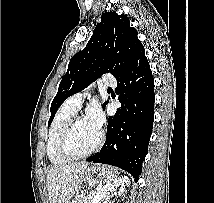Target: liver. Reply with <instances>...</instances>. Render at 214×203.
I'll return each mask as SVG.
<instances>
[{"mask_svg": "<svg viewBox=\"0 0 214 203\" xmlns=\"http://www.w3.org/2000/svg\"><path fill=\"white\" fill-rule=\"evenodd\" d=\"M87 162L51 167L47 173V191L50 203H70L84 181Z\"/></svg>", "mask_w": 214, "mask_h": 203, "instance_id": "6515ba94", "label": "liver"}]
</instances>
